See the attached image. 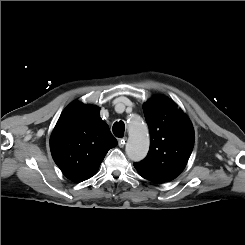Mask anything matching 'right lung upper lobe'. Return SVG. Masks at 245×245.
Listing matches in <instances>:
<instances>
[{"instance_id": "obj_1", "label": "right lung upper lobe", "mask_w": 245, "mask_h": 245, "mask_svg": "<svg viewBox=\"0 0 245 245\" xmlns=\"http://www.w3.org/2000/svg\"><path fill=\"white\" fill-rule=\"evenodd\" d=\"M99 108L73 102L60 115L50 138L52 157L70 180L92 177L106 153L117 145Z\"/></svg>"}]
</instances>
